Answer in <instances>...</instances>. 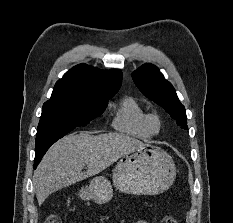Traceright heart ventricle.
<instances>
[{
    "instance_id": "obj_1",
    "label": "right heart ventricle",
    "mask_w": 233,
    "mask_h": 223,
    "mask_svg": "<svg viewBox=\"0 0 233 223\" xmlns=\"http://www.w3.org/2000/svg\"><path fill=\"white\" fill-rule=\"evenodd\" d=\"M147 112L143 106L131 96L121 100L112 114L111 127L134 138L148 140L152 134L146 127Z\"/></svg>"
}]
</instances>
